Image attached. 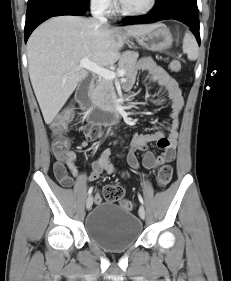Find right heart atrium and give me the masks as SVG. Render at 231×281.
Instances as JSON below:
<instances>
[{
    "label": "right heart atrium",
    "mask_w": 231,
    "mask_h": 281,
    "mask_svg": "<svg viewBox=\"0 0 231 281\" xmlns=\"http://www.w3.org/2000/svg\"><path fill=\"white\" fill-rule=\"evenodd\" d=\"M114 0H91L92 4L103 11H109Z\"/></svg>",
    "instance_id": "1"
}]
</instances>
